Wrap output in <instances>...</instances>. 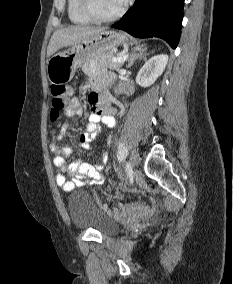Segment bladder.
<instances>
[{"label":"bladder","mask_w":233,"mask_h":284,"mask_svg":"<svg viewBox=\"0 0 233 284\" xmlns=\"http://www.w3.org/2000/svg\"><path fill=\"white\" fill-rule=\"evenodd\" d=\"M72 224L80 230H94L103 236L114 235L119 230L116 221L110 218L86 191H73L67 201Z\"/></svg>","instance_id":"bladder-1"}]
</instances>
